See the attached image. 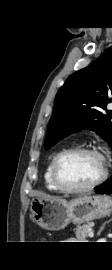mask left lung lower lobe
<instances>
[{"instance_id": "obj_1", "label": "left lung lower lobe", "mask_w": 112, "mask_h": 270, "mask_svg": "<svg viewBox=\"0 0 112 270\" xmlns=\"http://www.w3.org/2000/svg\"><path fill=\"white\" fill-rule=\"evenodd\" d=\"M95 192L98 194H112V177L98 186Z\"/></svg>"}]
</instances>
